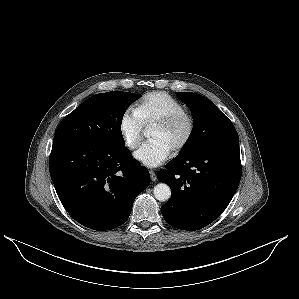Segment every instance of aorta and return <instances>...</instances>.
Here are the masks:
<instances>
[{
  "mask_svg": "<svg viewBox=\"0 0 299 299\" xmlns=\"http://www.w3.org/2000/svg\"><path fill=\"white\" fill-rule=\"evenodd\" d=\"M153 194L155 198L161 202H164L171 197V189L165 183H159L154 187Z\"/></svg>",
  "mask_w": 299,
  "mask_h": 299,
  "instance_id": "1",
  "label": "aorta"
}]
</instances>
